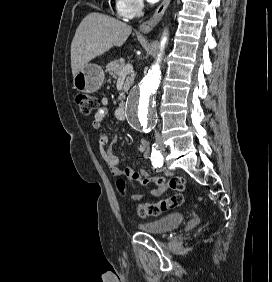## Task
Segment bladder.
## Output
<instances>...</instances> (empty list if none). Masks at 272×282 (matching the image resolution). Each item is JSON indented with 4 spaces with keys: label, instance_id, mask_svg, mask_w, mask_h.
Returning <instances> with one entry per match:
<instances>
[{
    "label": "bladder",
    "instance_id": "obj_1",
    "mask_svg": "<svg viewBox=\"0 0 272 282\" xmlns=\"http://www.w3.org/2000/svg\"><path fill=\"white\" fill-rule=\"evenodd\" d=\"M185 215L181 212L166 215L158 220L138 222L141 231L148 233H162L176 228L184 221Z\"/></svg>",
    "mask_w": 272,
    "mask_h": 282
}]
</instances>
